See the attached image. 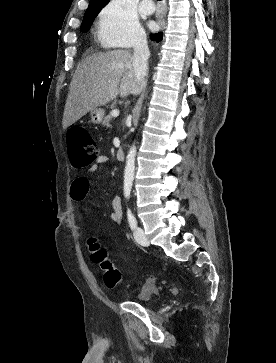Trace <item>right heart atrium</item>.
<instances>
[{"label": "right heart atrium", "mask_w": 276, "mask_h": 363, "mask_svg": "<svg viewBox=\"0 0 276 363\" xmlns=\"http://www.w3.org/2000/svg\"><path fill=\"white\" fill-rule=\"evenodd\" d=\"M99 40L106 45L131 47L143 42L144 32L126 0H111L97 21Z\"/></svg>", "instance_id": "d8ad5b80"}]
</instances>
